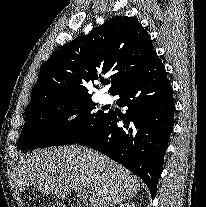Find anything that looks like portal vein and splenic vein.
Listing matches in <instances>:
<instances>
[{"instance_id":"obj_1","label":"portal vein and splenic vein","mask_w":206,"mask_h":207,"mask_svg":"<svg viewBox=\"0 0 206 207\" xmlns=\"http://www.w3.org/2000/svg\"><path fill=\"white\" fill-rule=\"evenodd\" d=\"M71 187L77 193L78 197L81 200H84V201L87 200L88 196L82 189H80L79 187H76V186H71Z\"/></svg>"}]
</instances>
